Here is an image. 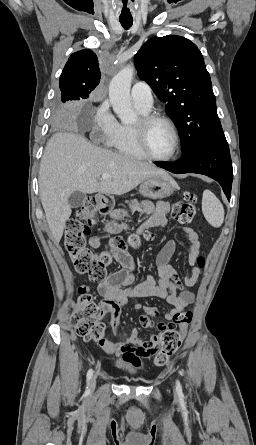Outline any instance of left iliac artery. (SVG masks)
<instances>
[{"mask_svg": "<svg viewBox=\"0 0 256 445\" xmlns=\"http://www.w3.org/2000/svg\"><path fill=\"white\" fill-rule=\"evenodd\" d=\"M176 389L178 392H182V386L178 380L176 381Z\"/></svg>", "mask_w": 256, "mask_h": 445, "instance_id": "1", "label": "left iliac artery"}]
</instances>
